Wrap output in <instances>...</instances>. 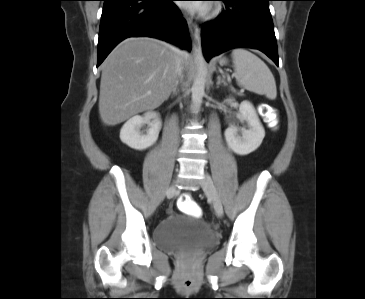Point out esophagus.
<instances>
[{
  "mask_svg": "<svg viewBox=\"0 0 365 299\" xmlns=\"http://www.w3.org/2000/svg\"><path fill=\"white\" fill-rule=\"evenodd\" d=\"M186 21L189 27V30L193 36L194 39V45H199V40H198V27L197 25L193 22V19L186 16Z\"/></svg>",
  "mask_w": 365,
  "mask_h": 299,
  "instance_id": "obj_1",
  "label": "esophagus"
}]
</instances>
